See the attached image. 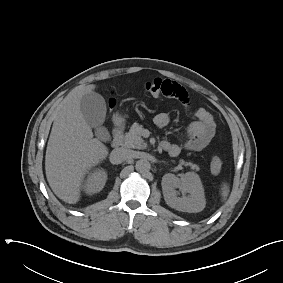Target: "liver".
<instances>
[{"instance_id":"6515ba94","label":"liver","mask_w":283,"mask_h":283,"mask_svg":"<svg viewBox=\"0 0 283 283\" xmlns=\"http://www.w3.org/2000/svg\"><path fill=\"white\" fill-rule=\"evenodd\" d=\"M95 87L93 84L84 86L63 101L47 144V181L54 194L69 204L79 201L88 170L108 156V148L98 138H93L92 129L80 109L83 95Z\"/></svg>"}]
</instances>
